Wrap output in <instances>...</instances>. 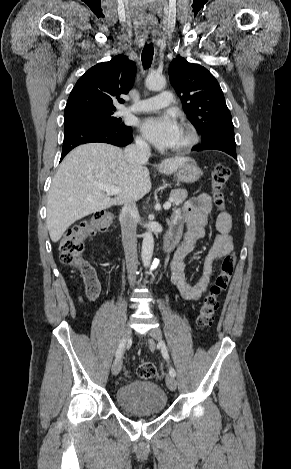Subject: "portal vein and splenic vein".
<instances>
[{
    "label": "portal vein and splenic vein",
    "mask_w": 291,
    "mask_h": 469,
    "mask_svg": "<svg viewBox=\"0 0 291 469\" xmlns=\"http://www.w3.org/2000/svg\"><path fill=\"white\" fill-rule=\"evenodd\" d=\"M97 188L106 192L107 195H117L120 192V189L111 185L98 184ZM165 210H168L171 207V202H166L163 205Z\"/></svg>",
    "instance_id": "obj_1"
}]
</instances>
